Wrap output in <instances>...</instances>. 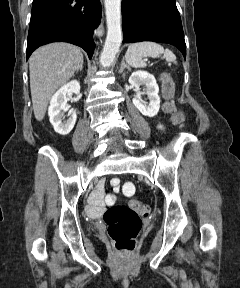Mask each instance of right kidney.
Returning <instances> with one entry per match:
<instances>
[{
	"mask_svg": "<svg viewBox=\"0 0 240 288\" xmlns=\"http://www.w3.org/2000/svg\"><path fill=\"white\" fill-rule=\"evenodd\" d=\"M69 93H80V84L77 80L70 81L62 86L51 98L48 108L50 122L55 132L62 136L70 133L77 119L76 113L70 110V106L67 104V94ZM65 112H68V119L62 122Z\"/></svg>",
	"mask_w": 240,
	"mask_h": 288,
	"instance_id": "obj_1",
	"label": "right kidney"
}]
</instances>
